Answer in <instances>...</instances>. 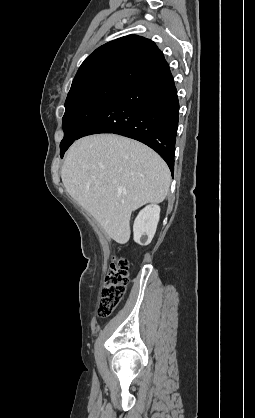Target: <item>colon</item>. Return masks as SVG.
<instances>
[{"mask_svg": "<svg viewBox=\"0 0 255 418\" xmlns=\"http://www.w3.org/2000/svg\"><path fill=\"white\" fill-rule=\"evenodd\" d=\"M129 283V264L124 258L115 259L107 272L98 313L102 317L109 316L122 300Z\"/></svg>", "mask_w": 255, "mask_h": 418, "instance_id": "1", "label": "colon"}]
</instances>
